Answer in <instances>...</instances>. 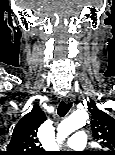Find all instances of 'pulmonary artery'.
I'll use <instances>...</instances> for the list:
<instances>
[{
	"label": "pulmonary artery",
	"mask_w": 115,
	"mask_h": 155,
	"mask_svg": "<svg viewBox=\"0 0 115 155\" xmlns=\"http://www.w3.org/2000/svg\"><path fill=\"white\" fill-rule=\"evenodd\" d=\"M87 136L84 131H77L66 141V145L74 150H81L86 147Z\"/></svg>",
	"instance_id": "pulmonary-artery-1"
}]
</instances>
